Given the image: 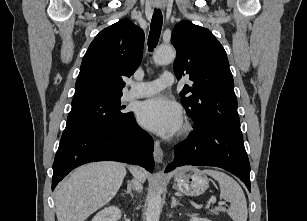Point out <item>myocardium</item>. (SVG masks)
I'll return each instance as SVG.
<instances>
[{
  "label": "myocardium",
  "instance_id": "1",
  "mask_svg": "<svg viewBox=\"0 0 307 221\" xmlns=\"http://www.w3.org/2000/svg\"><path fill=\"white\" fill-rule=\"evenodd\" d=\"M191 130H192V126H191V124H190L189 122H187V123L184 125V127H183V129H182V132H183L184 134H187V133H189Z\"/></svg>",
  "mask_w": 307,
  "mask_h": 221
}]
</instances>
